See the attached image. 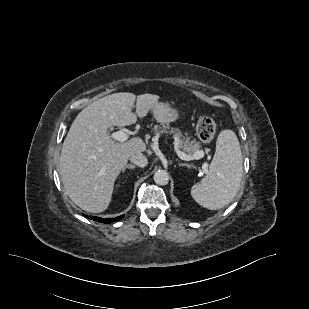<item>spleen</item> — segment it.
Instances as JSON below:
<instances>
[{"mask_svg": "<svg viewBox=\"0 0 309 309\" xmlns=\"http://www.w3.org/2000/svg\"><path fill=\"white\" fill-rule=\"evenodd\" d=\"M243 173L239 140L232 130H222L207 175L191 189L193 199L202 207L217 210L237 194Z\"/></svg>", "mask_w": 309, "mask_h": 309, "instance_id": "1", "label": "spleen"}]
</instances>
